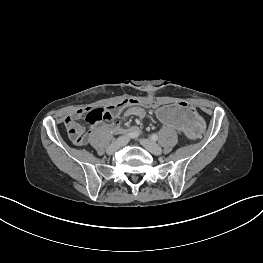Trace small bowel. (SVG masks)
Returning a JSON list of instances; mask_svg holds the SVG:
<instances>
[{
    "mask_svg": "<svg viewBox=\"0 0 263 263\" xmlns=\"http://www.w3.org/2000/svg\"><path fill=\"white\" fill-rule=\"evenodd\" d=\"M124 108H126L125 115L127 116L144 117L146 115V110L142 106L136 104H128L126 106L119 108L113 117L118 116ZM88 110L89 109L78 110L77 112H75L74 117L77 119L81 118L84 115V113L87 112Z\"/></svg>",
    "mask_w": 263,
    "mask_h": 263,
    "instance_id": "small-bowel-1",
    "label": "small bowel"
}]
</instances>
